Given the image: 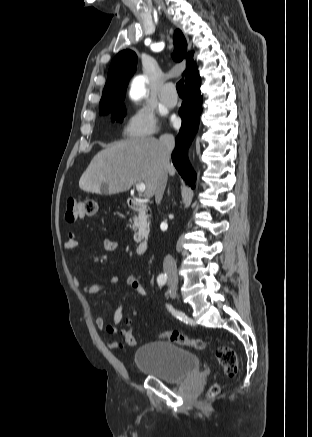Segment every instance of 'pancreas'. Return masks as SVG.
<instances>
[{"mask_svg":"<svg viewBox=\"0 0 312 437\" xmlns=\"http://www.w3.org/2000/svg\"><path fill=\"white\" fill-rule=\"evenodd\" d=\"M132 229L134 230V240L140 241L141 239L145 238L149 232V222H147L146 216H136L133 218V226Z\"/></svg>","mask_w":312,"mask_h":437,"instance_id":"1","label":"pancreas"}]
</instances>
